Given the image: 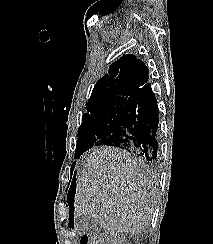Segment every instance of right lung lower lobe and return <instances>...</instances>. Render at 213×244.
<instances>
[{
  "instance_id": "right-lung-lower-lobe-1",
  "label": "right lung lower lobe",
  "mask_w": 213,
  "mask_h": 244,
  "mask_svg": "<svg viewBox=\"0 0 213 244\" xmlns=\"http://www.w3.org/2000/svg\"><path fill=\"white\" fill-rule=\"evenodd\" d=\"M159 110L151 84L145 85L135 97L128 114L120 122L117 130L100 139L94 146L107 145L123 150L149 161L157 158ZM80 156L76 157L79 158ZM74 180L68 193V204L75 192Z\"/></svg>"
}]
</instances>
